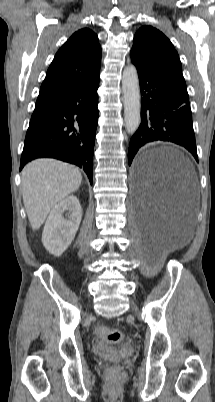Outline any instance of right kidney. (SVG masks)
<instances>
[{
	"mask_svg": "<svg viewBox=\"0 0 215 402\" xmlns=\"http://www.w3.org/2000/svg\"><path fill=\"white\" fill-rule=\"evenodd\" d=\"M81 219L82 208L75 196H67L59 202L48 216L42 233L46 250L55 256L62 255L74 239Z\"/></svg>",
	"mask_w": 215,
	"mask_h": 402,
	"instance_id": "obj_1",
	"label": "right kidney"
}]
</instances>
